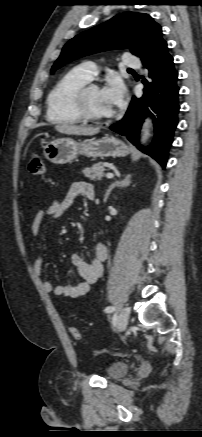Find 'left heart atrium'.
<instances>
[{
    "label": "left heart atrium",
    "mask_w": 202,
    "mask_h": 437,
    "mask_svg": "<svg viewBox=\"0 0 202 437\" xmlns=\"http://www.w3.org/2000/svg\"><path fill=\"white\" fill-rule=\"evenodd\" d=\"M103 92L113 110L122 105L126 95L125 86L119 79L110 80L107 86L103 88Z\"/></svg>",
    "instance_id": "1"
}]
</instances>
